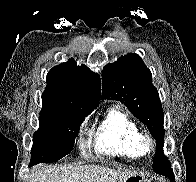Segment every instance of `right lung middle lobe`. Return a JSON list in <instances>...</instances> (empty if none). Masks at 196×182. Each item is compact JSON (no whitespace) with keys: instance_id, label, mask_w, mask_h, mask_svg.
Masks as SVG:
<instances>
[{"instance_id":"dd1d6c3e","label":"right lung middle lobe","mask_w":196,"mask_h":182,"mask_svg":"<svg viewBox=\"0 0 196 182\" xmlns=\"http://www.w3.org/2000/svg\"><path fill=\"white\" fill-rule=\"evenodd\" d=\"M86 116L63 110L40 112L29 165L56 162L69 154Z\"/></svg>"}]
</instances>
